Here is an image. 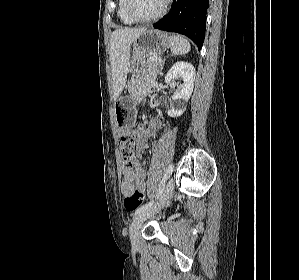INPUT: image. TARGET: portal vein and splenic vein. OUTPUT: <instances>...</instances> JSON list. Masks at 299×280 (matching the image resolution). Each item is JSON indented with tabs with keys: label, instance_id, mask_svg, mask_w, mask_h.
<instances>
[{
	"label": "portal vein and splenic vein",
	"instance_id": "portal-vein-and-splenic-vein-1",
	"mask_svg": "<svg viewBox=\"0 0 299 280\" xmlns=\"http://www.w3.org/2000/svg\"><path fill=\"white\" fill-rule=\"evenodd\" d=\"M150 61H160V58L153 56L149 58Z\"/></svg>",
	"mask_w": 299,
	"mask_h": 280
}]
</instances>
